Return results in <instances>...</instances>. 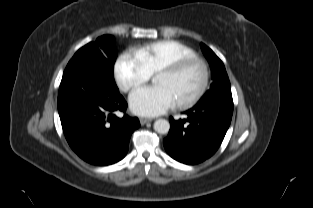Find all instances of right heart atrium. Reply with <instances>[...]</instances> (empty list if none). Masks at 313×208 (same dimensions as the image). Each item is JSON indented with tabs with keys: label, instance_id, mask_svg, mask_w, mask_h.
Returning a JSON list of instances; mask_svg holds the SVG:
<instances>
[{
	"label": "right heart atrium",
	"instance_id": "right-heart-atrium-1",
	"mask_svg": "<svg viewBox=\"0 0 313 208\" xmlns=\"http://www.w3.org/2000/svg\"><path fill=\"white\" fill-rule=\"evenodd\" d=\"M114 76L119 88L128 92L150 79V72L136 53H123L114 65Z\"/></svg>",
	"mask_w": 313,
	"mask_h": 208
}]
</instances>
